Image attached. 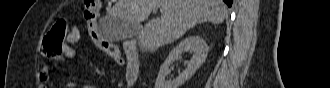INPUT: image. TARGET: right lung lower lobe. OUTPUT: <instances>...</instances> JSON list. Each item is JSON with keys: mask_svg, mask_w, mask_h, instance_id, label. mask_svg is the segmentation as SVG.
<instances>
[{"mask_svg": "<svg viewBox=\"0 0 330 88\" xmlns=\"http://www.w3.org/2000/svg\"><path fill=\"white\" fill-rule=\"evenodd\" d=\"M223 1L228 5V7H231L233 2V0H223Z\"/></svg>", "mask_w": 330, "mask_h": 88, "instance_id": "1", "label": "right lung lower lobe"}]
</instances>
